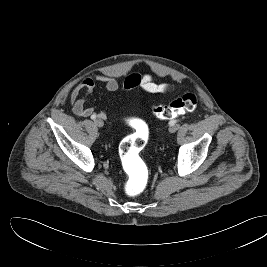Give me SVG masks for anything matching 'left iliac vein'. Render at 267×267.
I'll return each mask as SVG.
<instances>
[{"mask_svg":"<svg viewBox=\"0 0 267 267\" xmlns=\"http://www.w3.org/2000/svg\"><path fill=\"white\" fill-rule=\"evenodd\" d=\"M178 129H179V125L178 124L170 125L169 132L170 133H175Z\"/></svg>","mask_w":267,"mask_h":267,"instance_id":"obj_1","label":"left iliac vein"}]
</instances>
